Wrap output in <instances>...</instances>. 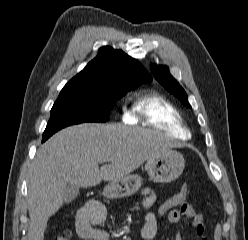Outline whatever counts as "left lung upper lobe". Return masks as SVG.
I'll list each match as a JSON object with an SVG mask.
<instances>
[{
	"instance_id": "5c2ea615",
	"label": "left lung upper lobe",
	"mask_w": 248,
	"mask_h": 240,
	"mask_svg": "<svg viewBox=\"0 0 248 240\" xmlns=\"http://www.w3.org/2000/svg\"><path fill=\"white\" fill-rule=\"evenodd\" d=\"M151 70L156 80L160 82L170 93L176 96L182 104L191 107L187 94L179 83L171 76L166 66L151 65Z\"/></svg>"
}]
</instances>
